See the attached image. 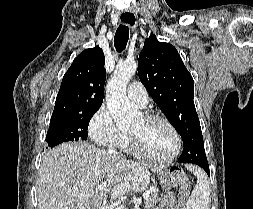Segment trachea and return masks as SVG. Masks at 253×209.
Wrapping results in <instances>:
<instances>
[{"mask_svg":"<svg viewBox=\"0 0 253 209\" xmlns=\"http://www.w3.org/2000/svg\"><path fill=\"white\" fill-rule=\"evenodd\" d=\"M128 38H129L128 26L120 25L114 36V44L118 52H121L126 48Z\"/></svg>","mask_w":253,"mask_h":209,"instance_id":"trachea-1","label":"trachea"}]
</instances>
